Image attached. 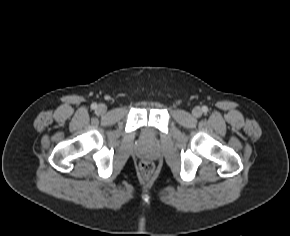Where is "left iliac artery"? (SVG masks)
<instances>
[{"label": "left iliac artery", "instance_id": "44dca946", "mask_svg": "<svg viewBox=\"0 0 290 236\" xmlns=\"http://www.w3.org/2000/svg\"><path fill=\"white\" fill-rule=\"evenodd\" d=\"M202 111H203L204 113H207V111H208V107H207V106H203V107H202Z\"/></svg>", "mask_w": 290, "mask_h": 236}]
</instances>
